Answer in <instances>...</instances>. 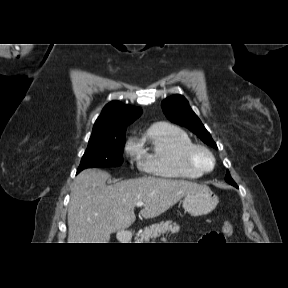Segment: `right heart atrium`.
<instances>
[{
  "label": "right heart atrium",
  "mask_w": 288,
  "mask_h": 288,
  "mask_svg": "<svg viewBox=\"0 0 288 288\" xmlns=\"http://www.w3.org/2000/svg\"><path fill=\"white\" fill-rule=\"evenodd\" d=\"M126 153L130 156H135L138 153V148H137V144L134 143L133 141H129L126 144Z\"/></svg>",
  "instance_id": "right-heart-atrium-1"
}]
</instances>
